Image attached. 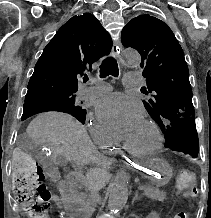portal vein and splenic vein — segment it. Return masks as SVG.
<instances>
[{
	"mask_svg": "<svg viewBox=\"0 0 211 218\" xmlns=\"http://www.w3.org/2000/svg\"><path fill=\"white\" fill-rule=\"evenodd\" d=\"M138 191H143V187L142 186H136L135 187Z\"/></svg>",
	"mask_w": 211,
	"mask_h": 218,
	"instance_id": "obj_1",
	"label": "portal vein and splenic vein"
}]
</instances>
